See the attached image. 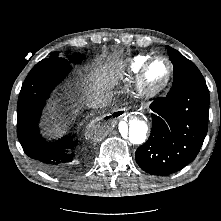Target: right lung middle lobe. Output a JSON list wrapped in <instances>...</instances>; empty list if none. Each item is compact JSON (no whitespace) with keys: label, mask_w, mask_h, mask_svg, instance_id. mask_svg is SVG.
<instances>
[{"label":"right lung middle lobe","mask_w":221,"mask_h":221,"mask_svg":"<svg viewBox=\"0 0 221 221\" xmlns=\"http://www.w3.org/2000/svg\"><path fill=\"white\" fill-rule=\"evenodd\" d=\"M55 57H59V53H58V52L52 53L49 58H55ZM82 58H83V57H82L81 54H74V55L72 56L71 62L77 63V62L81 61ZM66 60H67V59H66ZM68 61H69V60H68ZM69 63H70V61H69Z\"/></svg>","instance_id":"obj_1"}]
</instances>
